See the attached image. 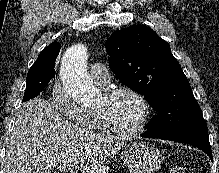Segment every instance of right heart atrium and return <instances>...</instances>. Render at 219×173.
Returning a JSON list of instances; mask_svg holds the SVG:
<instances>
[{
    "label": "right heart atrium",
    "instance_id": "obj_1",
    "mask_svg": "<svg viewBox=\"0 0 219 173\" xmlns=\"http://www.w3.org/2000/svg\"><path fill=\"white\" fill-rule=\"evenodd\" d=\"M50 103L55 111L68 120L84 125L86 114L69 96L61 82H56L52 88Z\"/></svg>",
    "mask_w": 219,
    "mask_h": 173
}]
</instances>
